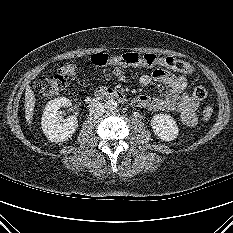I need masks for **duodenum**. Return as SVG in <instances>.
Here are the masks:
<instances>
[{"label":"duodenum","instance_id":"1","mask_svg":"<svg viewBox=\"0 0 233 233\" xmlns=\"http://www.w3.org/2000/svg\"><path fill=\"white\" fill-rule=\"evenodd\" d=\"M95 98L96 99H108V98H114L117 99L120 102H125L126 97L125 95L113 88H107V87H100L95 91Z\"/></svg>","mask_w":233,"mask_h":233}]
</instances>
